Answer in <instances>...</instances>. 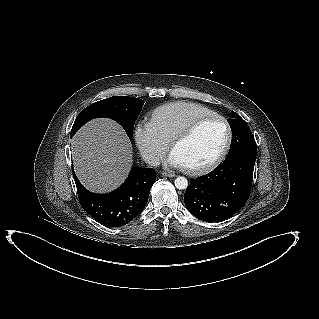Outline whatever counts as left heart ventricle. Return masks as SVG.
<instances>
[{"label": "left heart ventricle", "mask_w": 319, "mask_h": 319, "mask_svg": "<svg viewBox=\"0 0 319 319\" xmlns=\"http://www.w3.org/2000/svg\"><path fill=\"white\" fill-rule=\"evenodd\" d=\"M225 138V125L218 119H211L201 123L191 136L177 144L173 153L185 167L202 166L216 157Z\"/></svg>", "instance_id": "b2bd125f"}]
</instances>
